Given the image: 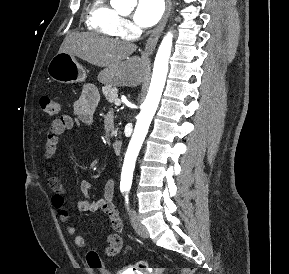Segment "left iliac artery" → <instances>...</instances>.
Wrapping results in <instances>:
<instances>
[{
  "instance_id": "44dca946",
  "label": "left iliac artery",
  "mask_w": 289,
  "mask_h": 274,
  "mask_svg": "<svg viewBox=\"0 0 289 274\" xmlns=\"http://www.w3.org/2000/svg\"><path fill=\"white\" fill-rule=\"evenodd\" d=\"M126 204H128V195L125 196Z\"/></svg>"
}]
</instances>
